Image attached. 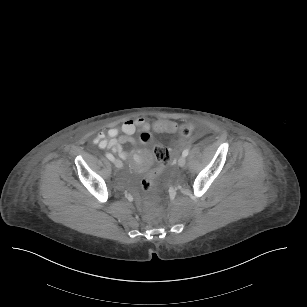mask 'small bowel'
Wrapping results in <instances>:
<instances>
[{"mask_svg": "<svg viewBox=\"0 0 307 307\" xmlns=\"http://www.w3.org/2000/svg\"><path fill=\"white\" fill-rule=\"evenodd\" d=\"M147 127H151V125L143 117L128 119L123 122L120 128L113 127L107 131L99 132L93 142L101 149L111 150L123 160L130 159L131 157H139L141 155L140 152L130 154L124 149L123 145L126 143L134 144V133L137 131L141 132Z\"/></svg>", "mask_w": 307, "mask_h": 307, "instance_id": "obj_1", "label": "small bowel"}]
</instances>
